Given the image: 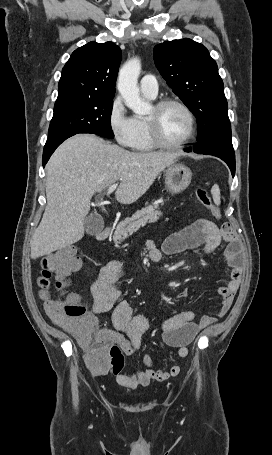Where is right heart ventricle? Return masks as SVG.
I'll use <instances>...</instances> for the list:
<instances>
[{
    "instance_id": "e07e8e85",
    "label": "right heart ventricle",
    "mask_w": 272,
    "mask_h": 455,
    "mask_svg": "<svg viewBox=\"0 0 272 455\" xmlns=\"http://www.w3.org/2000/svg\"><path fill=\"white\" fill-rule=\"evenodd\" d=\"M134 125L135 133L130 147L138 152L153 151L156 146L151 141L146 119L142 117H135Z\"/></svg>"
}]
</instances>
